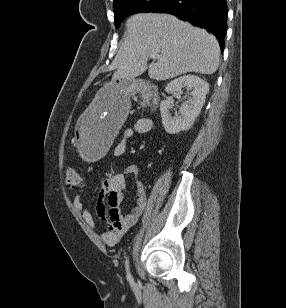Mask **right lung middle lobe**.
I'll return each mask as SVG.
<instances>
[{
  "instance_id": "obj_1",
  "label": "right lung middle lobe",
  "mask_w": 286,
  "mask_h": 308,
  "mask_svg": "<svg viewBox=\"0 0 286 308\" xmlns=\"http://www.w3.org/2000/svg\"><path fill=\"white\" fill-rule=\"evenodd\" d=\"M167 0H120L113 4L114 21L117 26L126 17L140 12H152Z\"/></svg>"
}]
</instances>
